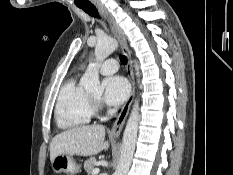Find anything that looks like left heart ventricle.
<instances>
[{
    "instance_id": "b2bd125f",
    "label": "left heart ventricle",
    "mask_w": 233,
    "mask_h": 175,
    "mask_svg": "<svg viewBox=\"0 0 233 175\" xmlns=\"http://www.w3.org/2000/svg\"><path fill=\"white\" fill-rule=\"evenodd\" d=\"M92 97L98 99L99 95H93Z\"/></svg>"
}]
</instances>
